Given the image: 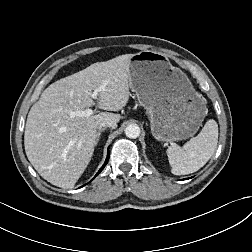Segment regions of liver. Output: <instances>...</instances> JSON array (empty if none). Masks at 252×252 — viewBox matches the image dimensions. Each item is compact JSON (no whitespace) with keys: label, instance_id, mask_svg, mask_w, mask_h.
<instances>
[{"label":"liver","instance_id":"6515ba94","mask_svg":"<svg viewBox=\"0 0 252 252\" xmlns=\"http://www.w3.org/2000/svg\"><path fill=\"white\" fill-rule=\"evenodd\" d=\"M121 55L97 62L48 86L31 107L25 126L24 146L35 170L51 184L71 189L87 168L97 144V128L103 121L118 123L119 114L72 117L95 104L119 111L130 97L129 59ZM104 86L96 103L92 91Z\"/></svg>","mask_w":252,"mask_h":252}]
</instances>
